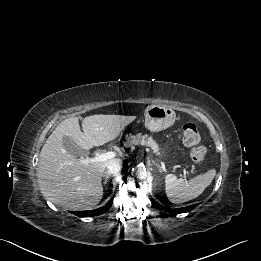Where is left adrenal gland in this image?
I'll return each instance as SVG.
<instances>
[{
  "instance_id": "obj_1",
  "label": "left adrenal gland",
  "mask_w": 261,
  "mask_h": 261,
  "mask_svg": "<svg viewBox=\"0 0 261 261\" xmlns=\"http://www.w3.org/2000/svg\"><path fill=\"white\" fill-rule=\"evenodd\" d=\"M152 163L158 168L159 172L161 173L162 172V169L160 167L159 164H157L156 162L152 161Z\"/></svg>"
}]
</instances>
